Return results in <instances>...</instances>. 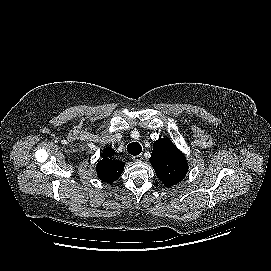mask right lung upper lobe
<instances>
[{"mask_svg": "<svg viewBox=\"0 0 271 271\" xmlns=\"http://www.w3.org/2000/svg\"><path fill=\"white\" fill-rule=\"evenodd\" d=\"M114 154V149L107 147L101 154L102 159L97 163V175L106 183H113L124 170V163L112 158Z\"/></svg>", "mask_w": 271, "mask_h": 271, "instance_id": "cb5924a9", "label": "right lung upper lobe"}]
</instances>
